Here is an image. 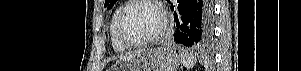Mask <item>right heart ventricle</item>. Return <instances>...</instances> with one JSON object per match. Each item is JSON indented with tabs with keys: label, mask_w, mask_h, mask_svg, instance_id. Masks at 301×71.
I'll list each match as a JSON object with an SVG mask.
<instances>
[{
	"label": "right heart ventricle",
	"mask_w": 301,
	"mask_h": 71,
	"mask_svg": "<svg viewBox=\"0 0 301 71\" xmlns=\"http://www.w3.org/2000/svg\"><path fill=\"white\" fill-rule=\"evenodd\" d=\"M122 9V6L118 7L115 12L112 15L110 25H109V35L111 39L112 47L117 52H124L129 49L127 45H125L120 38L118 37L117 30H116V24H117V18L119 15L120 10Z\"/></svg>",
	"instance_id": "e07e8e85"
}]
</instances>
